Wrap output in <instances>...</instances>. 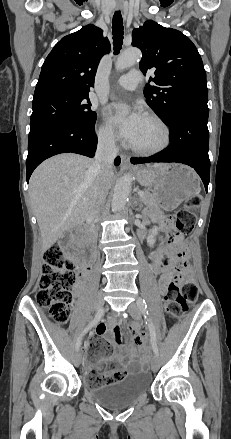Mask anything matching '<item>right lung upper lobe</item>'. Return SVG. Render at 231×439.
<instances>
[{"label": "right lung upper lobe", "mask_w": 231, "mask_h": 439, "mask_svg": "<svg viewBox=\"0 0 231 439\" xmlns=\"http://www.w3.org/2000/svg\"><path fill=\"white\" fill-rule=\"evenodd\" d=\"M109 51L103 30L94 25L65 36L44 61L34 99L53 93L88 95L99 61Z\"/></svg>", "instance_id": "right-lung-upper-lobe-1"}]
</instances>
